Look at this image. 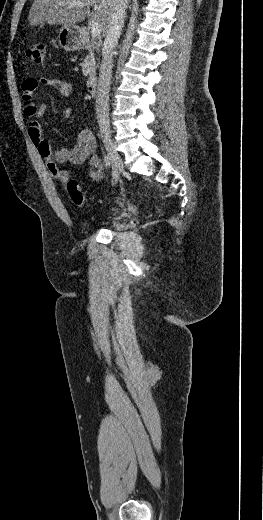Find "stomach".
Returning <instances> with one entry per match:
<instances>
[{
    "instance_id": "obj_1",
    "label": "stomach",
    "mask_w": 263,
    "mask_h": 520,
    "mask_svg": "<svg viewBox=\"0 0 263 520\" xmlns=\"http://www.w3.org/2000/svg\"><path fill=\"white\" fill-rule=\"evenodd\" d=\"M60 47L66 51H76L82 47V30L75 24H64L58 32Z\"/></svg>"
}]
</instances>
